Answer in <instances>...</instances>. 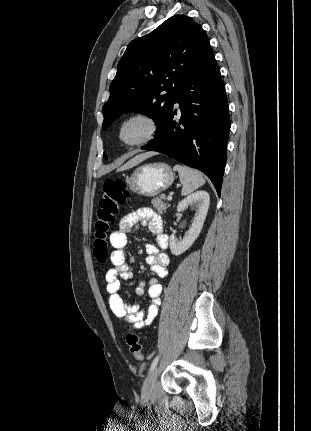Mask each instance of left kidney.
<instances>
[{"label": "left kidney", "instance_id": "5707ae66", "mask_svg": "<svg viewBox=\"0 0 311 431\" xmlns=\"http://www.w3.org/2000/svg\"><path fill=\"white\" fill-rule=\"evenodd\" d=\"M209 202L210 196L207 192H203V190L195 192V194H191V196H187L185 200L179 202L176 212H184L188 206H191L192 210H195V216L192 219L191 227L186 231L183 239H176L173 233L170 235L169 245L173 255H180V253L186 251L194 243L203 227Z\"/></svg>", "mask_w": 311, "mask_h": 431}]
</instances>
